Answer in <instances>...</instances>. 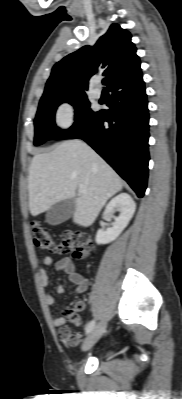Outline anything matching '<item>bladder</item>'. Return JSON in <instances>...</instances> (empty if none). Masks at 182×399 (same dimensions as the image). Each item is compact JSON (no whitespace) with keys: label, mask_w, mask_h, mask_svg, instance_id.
<instances>
[{"label":"bladder","mask_w":182,"mask_h":399,"mask_svg":"<svg viewBox=\"0 0 182 399\" xmlns=\"http://www.w3.org/2000/svg\"><path fill=\"white\" fill-rule=\"evenodd\" d=\"M110 355V353H106V354H104L103 356L104 357H107V356H109Z\"/></svg>","instance_id":"31cf9c89"}]
</instances>
